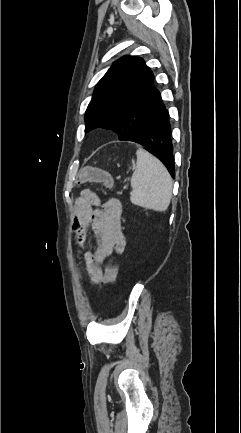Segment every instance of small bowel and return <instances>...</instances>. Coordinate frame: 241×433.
<instances>
[{"label": "small bowel", "instance_id": "1", "mask_svg": "<svg viewBox=\"0 0 241 433\" xmlns=\"http://www.w3.org/2000/svg\"><path fill=\"white\" fill-rule=\"evenodd\" d=\"M121 214L119 200L111 198L102 204L99 196L90 189L83 190L75 201L71 227L77 236L78 245L84 247L88 225L92 226L96 236V250L84 252L85 267L90 278L101 276V265L113 253L121 254L125 250Z\"/></svg>", "mask_w": 241, "mask_h": 433}]
</instances>
